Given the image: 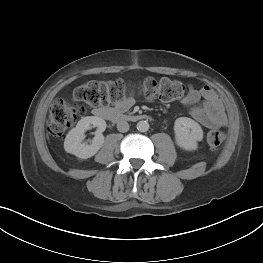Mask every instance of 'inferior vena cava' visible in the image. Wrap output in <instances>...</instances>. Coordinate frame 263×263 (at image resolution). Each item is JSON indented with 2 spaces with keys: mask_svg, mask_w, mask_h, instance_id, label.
<instances>
[{
  "mask_svg": "<svg viewBox=\"0 0 263 263\" xmlns=\"http://www.w3.org/2000/svg\"><path fill=\"white\" fill-rule=\"evenodd\" d=\"M117 129L119 132H127L129 130L128 122L122 120L117 123Z\"/></svg>",
  "mask_w": 263,
  "mask_h": 263,
  "instance_id": "obj_1",
  "label": "inferior vena cava"
}]
</instances>
